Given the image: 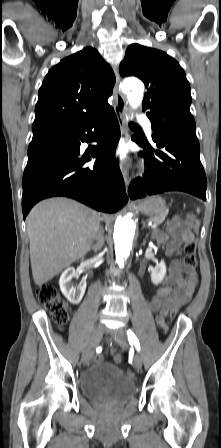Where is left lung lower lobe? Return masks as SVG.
Wrapping results in <instances>:
<instances>
[{
	"label": "left lung lower lobe",
	"instance_id": "obj_1",
	"mask_svg": "<svg viewBox=\"0 0 221 448\" xmlns=\"http://www.w3.org/2000/svg\"><path fill=\"white\" fill-rule=\"evenodd\" d=\"M135 141L138 142L137 139ZM152 141L156 148L147 141L140 143L143 147L147 146L150 152L141 153L145 158V175L131 182L129 197L137 199L177 190L206 200L207 181L200 162L198 140L153 133Z\"/></svg>",
	"mask_w": 221,
	"mask_h": 448
}]
</instances>
